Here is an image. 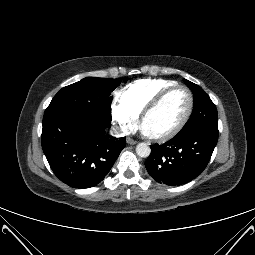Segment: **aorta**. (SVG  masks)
<instances>
[{
	"instance_id": "1",
	"label": "aorta",
	"mask_w": 255,
	"mask_h": 255,
	"mask_svg": "<svg viewBox=\"0 0 255 255\" xmlns=\"http://www.w3.org/2000/svg\"><path fill=\"white\" fill-rule=\"evenodd\" d=\"M136 153L139 157L146 158L150 155L151 149L146 143H139L136 146Z\"/></svg>"
}]
</instances>
